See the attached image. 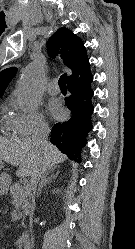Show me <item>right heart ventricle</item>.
I'll return each instance as SVG.
<instances>
[{"mask_svg": "<svg viewBox=\"0 0 135 249\" xmlns=\"http://www.w3.org/2000/svg\"><path fill=\"white\" fill-rule=\"evenodd\" d=\"M4 110L6 111V107H4ZM2 129L8 135L15 134V129H14V126H13L12 119L9 118L8 116L4 117V121L2 123Z\"/></svg>", "mask_w": 135, "mask_h": 249, "instance_id": "obj_1", "label": "right heart ventricle"}]
</instances>
